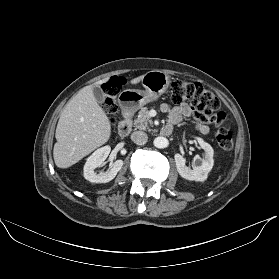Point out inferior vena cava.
I'll return each instance as SVG.
<instances>
[{"instance_id": "1", "label": "inferior vena cava", "mask_w": 279, "mask_h": 279, "mask_svg": "<svg viewBox=\"0 0 279 279\" xmlns=\"http://www.w3.org/2000/svg\"><path fill=\"white\" fill-rule=\"evenodd\" d=\"M131 140L137 145H144L148 140V136L143 131H135L131 134Z\"/></svg>"}]
</instances>
